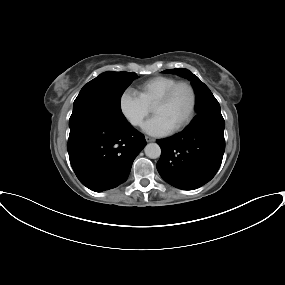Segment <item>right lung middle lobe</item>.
Here are the masks:
<instances>
[{"instance_id": "dd1d6c3e", "label": "right lung middle lobe", "mask_w": 285, "mask_h": 285, "mask_svg": "<svg viewBox=\"0 0 285 285\" xmlns=\"http://www.w3.org/2000/svg\"><path fill=\"white\" fill-rule=\"evenodd\" d=\"M138 76L131 72H105L88 82L74 101L69 126L90 117L123 123L120 99L124 90Z\"/></svg>"}]
</instances>
